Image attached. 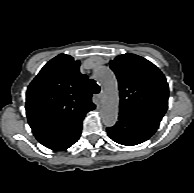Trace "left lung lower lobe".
Returning <instances> with one entry per match:
<instances>
[{
  "label": "left lung lower lobe",
  "mask_w": 194,
  "mask_h": 193,
  "mask_svg": "<svg viewBox=\"0 0 194 193\" xmlns=\"http://www.w3.org/2000/svg\"><path fill=\"white\" fill-rule=\"evenodd\" d=\"M157 128L158 126L141 119L119 114L117 123L107 128V132L113 141L121 145L133 146L149 139Z\"/></svg>",
  "instance_id": "obj_1"
}]
</instances>
